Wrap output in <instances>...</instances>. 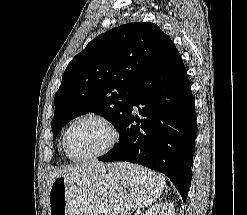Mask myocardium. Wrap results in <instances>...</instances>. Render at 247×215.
Instances as JSON below:
<instances>
[{
  "instance_id": "obj_1",
  "label": "myocardium",
  "mask_w": 247,
  "mask_h": 215,
  "mask_svg": "<svg viewBox=\"0 0 247 215\" xmlns=\"http://www.w3.org/2000/svg\"><path fill=\"white\" fill-rule=\"evenodd\" d=\"M83 120H94V121H97L100 124H102L107 129V131L109 133V140H108L107 144L104 146V148H102L100 151L93 153L91 155L83 156V157H75L69 151L68 136H69V133H70L71 129L73 128V126L75 124H77L78 122L83 121ZM117 142H118V131H117L116 127L108 118H106L103 115H100L98 113H85V114H82V115L76 117L69 124L67 129L65 130L64 135H63V141H62L65 154L71 160L77 161V162L89 161V160L101 158V157L107 155L115 147Z\"/></svg>"
}]
</instances>
